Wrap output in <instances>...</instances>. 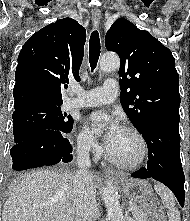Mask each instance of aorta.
I'll return each mask as SVG.
<instances>
[{
	"label": "aorta",
	"instance_id": "1",
	"mask_svg": "<svg viewBox=\"0 0 190 221\" xmlns=\"http://www.w3.org/2000/svg\"><path fill=\"white\" fill-rule=\"evenodd\" d=\"M119 65V57L114 54H105L100 60V69L104 72L117 70ZM103 200L107 214L112 221H126L119 203L118 194L111 182H107L106 187L103 190Z\"/></svg>",
	"mask_w": 190,
	"mask_h": 221
}]
</instances>
